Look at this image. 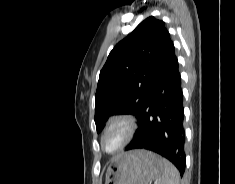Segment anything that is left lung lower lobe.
<instances>
[{
    "label": "left lung lower lobe",
    "instance_id": "left-lung-lower-lobe-1",
    "mask_svg": "<svg viewBox=\"0 0 235 184\" xmlns=\"http://www.w3.org/2000/svg\"><path fill=\"white\" fill-rule=\"evenodd\" d=\"M181 79L170 35L138 117L139 128L125 150L147 149L171 161L180 174L185 171Z\"/></svg>",
    "mask_w": 235,
    "mask_h": 184
}]
</instances>
